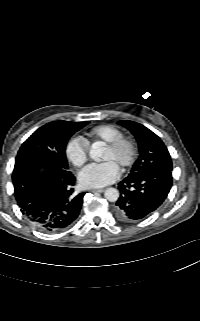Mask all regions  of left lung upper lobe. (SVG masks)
Instances as JSON below:
<instances>
[{
    "label": "left lung upper lobe",
    "mask_w": 200,
    "mask_h": 321,
    "mask_svg": "<svg viewBox=\"0 0 200 321\" xmlns=\"http://www.w3.org/2000/svg\"><path fill=\"white\" fill-rule=\"evenodd\" d=\"M119 125L127 128L136 138L139 146V158L131 172L147 169H166L172 171L170 154L162 140L151 130L137 122L122 120Z\"/></svg>",
    "instance_id": "5c2ea615"
}]
</instances>
